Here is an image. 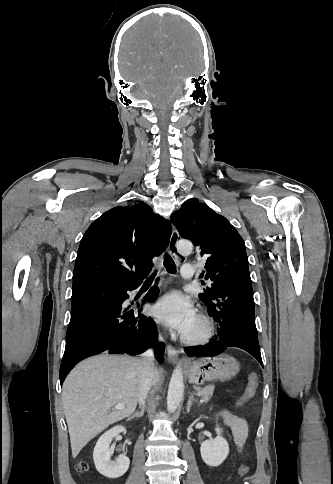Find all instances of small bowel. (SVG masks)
<instances>
[{
    "label": "small bowel",
    "mask_w": 333,
    "mask_h": 484,
    "mask_svg": "<svg viewBox=\"0 0 333 484\" xmlns=\"http://www.w3.org/2000/svg\"><path fill=\"white\" fill-rule=\"evenodd\" d=\"M219 417L224 424L231 430L234 443L238 450H242L248 437V424L244 418L223 410L219 413Z\"/></svg>",
    "instance_id": "c3829d8e"
}]
</instances>
